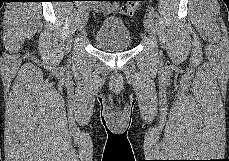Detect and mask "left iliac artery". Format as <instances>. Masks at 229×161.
I'll return each mask as SVG.
<instances>
[{
  "label": "left iliac artery",
  "instance_id": "left-iliac-artery-1",
  "mask_svg": "<svg viewBox=\"0 0 229 161\" xmlns=\"http://www.w3.org/2000/svg\"><path fill=\"white\" fill-rule=\"evenodd\" d=\"M148 11L152 17H155V9L153 6H148Z\"/></svg>",
  "mask_w": 229,
  "mask_h": 161
}]
</instances>
